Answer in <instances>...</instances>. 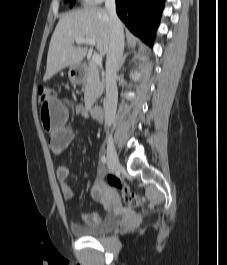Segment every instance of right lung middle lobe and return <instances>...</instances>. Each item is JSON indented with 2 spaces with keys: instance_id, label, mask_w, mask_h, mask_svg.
<instances>
[{
  "instance_id": "right-lung-middle-lobe-1",
  "label": "right lung middle lobe",
  "mask_w": 227,
  "mask_h": 265,
  "mask_svg": "<svg viewBox=\"0 0 227 265\" xmlns=\"http://www.w3.org/2000/svg\"><path fill=\"white\" fill-rule=\"evenodd\" d=\"M71 2L72 4L75 3V0H65V2Z\"/></svg>"
}]
</instances>
